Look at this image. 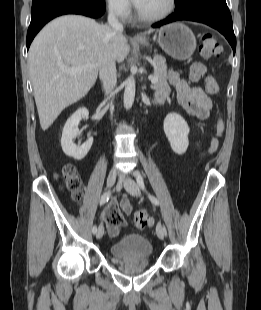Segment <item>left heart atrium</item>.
Returning <instances> with one entry per match:
<instances>
[{
    "label": "left heart atrium",
    "instance_id": "left-heart-atrium-1",
    "mask_svg": "<svg viewBox=\"0 0 261 310\" xmlns=\"http://www.w3.org/2000/svg\"><path fill=\"white\" fill-rule=\"evenodd\" d=\"M132 2L138 7L141 4L142 0H132Z\"/></svg>",
    "mask_w": 261,
    "mask_h": 310
}]
</instances>
